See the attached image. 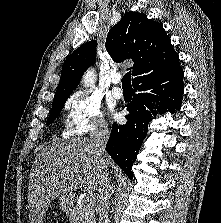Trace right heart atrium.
I'll return each instance as SVG.
<instances>
[{
    "instance_id": "d8ad5b80",
    "label": "right heart atrium",
    "mask_w": 221,
    "mask_h": 223,
    "mask_svg": "<svg viewBox=\"0 0 221 223\" xmlns=\"http://www.w3.org/2000/svg\"><path fill=\"white\" fill-rule=\"evenodd\" d=\"M65 134L69 137H82L108 129L98 100L84 93L75 92L65 103Z\"/></svg>"
}]
</instances>
